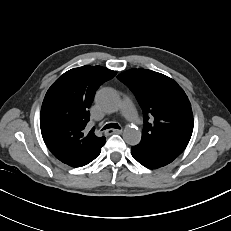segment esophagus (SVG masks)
Returning a JSON list of instances; mask_svg holds the SVG:
<instances>
[{"label": "esophagus", "instance_id": "34e87169", "mask_svg": "<svg viewBox=\"0 0 231 231\" xmlns=\"http://www.w3.org/2000/svg\"><path fill=\"white\" fill-rule=\"evenodd\" d=\"M108 134H121L122 133V129H109L107 130Z\"/></svg>", "mask_w": 231, "mask_h": 231}]
</instances>
